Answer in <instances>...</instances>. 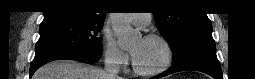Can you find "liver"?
Listing matches in <instances>:
<instances>
[{
  "instance_id": "6515ba94",
  "label": "liver",
  "mask_w": 255,
  "mask_h": 79,
  "mask_svg": "<svg viewBox=\"0 0 255 79\" xmlns=\"http://www.w3.org/2000/svg\"><path fill=\"white\" fill-rule=\"evenodd\" d=\"M33 79H107V76L104 70L95 66L74 60H56L39 68Z\"/></svg>"
}]
</instances>
